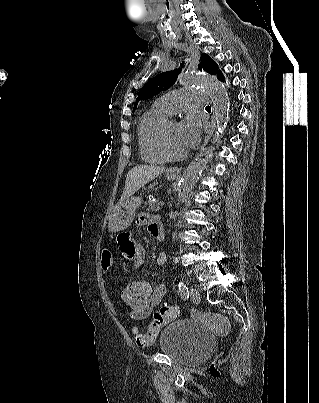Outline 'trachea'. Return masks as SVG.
<instances>
[{
	"label": "trachea",
	"mask_w": 319,
	"mask_h": 403,
	"mask_svg": "<svg viewBox=\"0 0 319 403\" xmlns=\"http://www.w3.org/2000/svg\"><path fill=\"white\" fill-rule=\"evenodd\" d=\"M206 109H211V107H210V106H207Z\"/></svg>",
	"instance_id": "trachea-1"
}]
</instances>
